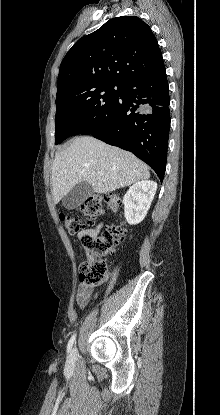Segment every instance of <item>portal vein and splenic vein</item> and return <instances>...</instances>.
Returning <instances> with one entry per match:
<instances>
[{"instance_id":"1","label":"portal vein and splenic vein","mask_w":220,"mask_h":415,"mask_svg":"<svg viewBox=\"0 0 220 415\" xmlns=\"http://www.w3.org/2000/svg\"><path fill=\"white\" fill-rule=\"evenodd\" d=\"M98 174H99L100 176H103V175H104V173H103V172H98Z\"/></svg>"}]
</instances>
